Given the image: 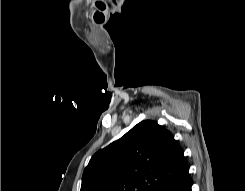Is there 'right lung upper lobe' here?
Instances as JSON below:
<instances>
[{"label": "right lung upper lobe", "instance_id": "obj_1", "mask_svg": "<svg viewBox=\"0 0 245 191\" xmlns=\"http://www.w3.org/2000/svg\"><path fill=\"white\" fill-rule=\"evenodd\" d=\"M187 170L172 134L145 120L93 155L80 191H158Z\"/></svg>", "mask_w": 245, "mask_h": 191}]
</instances>
